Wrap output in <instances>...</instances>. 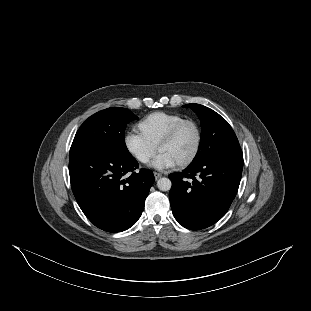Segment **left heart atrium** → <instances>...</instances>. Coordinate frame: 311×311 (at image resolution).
<instances>
[{
	"instance_id": "39dd6f15",
	"label": "left heart atrium",
	"mask_w": 311,
	"mask_h": 311,
	"mask_svg": "<svg viewBox=\"0 0 311 311\" xmlns=\"http://www.w3.org/2000/svg\"><path fill=\"white\" fill-rule=\"evenodd\" d=\"M178 162L166 153H159L158 156L151 163V167L158 171H163L176 167Z\"/></svg>"
}]
</instances>
